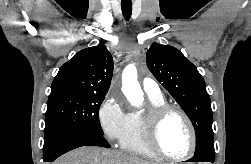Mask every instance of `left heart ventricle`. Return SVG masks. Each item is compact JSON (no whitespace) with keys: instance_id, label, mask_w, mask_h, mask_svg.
Masks as SVG:
<instances>
[{"instance_id":"left-heart-ventricle-1","label":"left heart ventricle","mask_w":251,"mask_h":164,"mask_svg":"<svg viewBox=\"0 0 251 164\" xmlns=\"http://www.w3.org/2000/svg\"><path fill=\"white\" fill-rule=\"evenodd\" d=\"M159 141L163 151L171 157H181L189 151L190 131L180 115L171 113L166 117L161 126Z\"/></svg>"}]
</instances>
